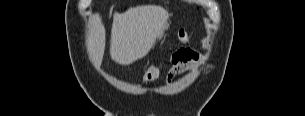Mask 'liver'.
<instances>
[{"instance_id": "liver-1", "label": "liver", "mask_w": 305, "mask_h": 116, "mask_svg": "<svg viewBox=\"0 0 305 116\" xmlns=\"http://www.w3.org/2000/svg\"><path fill=\"white\" fill-rule=\"evenodd\" d=\"M168 12L156 5L129 8L124 13H114L110 39V56L120 65H130L145 56L153 47ZM106 32L102 18L97 13L90 19L87 50L93 65H101L105 50Z\"/></svg>"}]
</instances>
